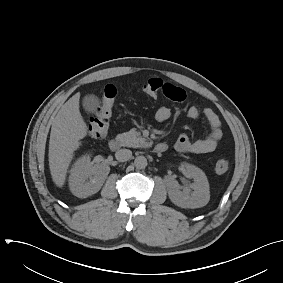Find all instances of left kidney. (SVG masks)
Instances as JSON below:
<instances>
[{
    "label": "left kidney",
    "instance_id": "1",
    "mask_svg": "<svg viewBox=\"0 0 283 283\" xmlns=\"http://www.w3.org/2000/svg\"><path fill=\"white\" fill-rule=\"evenodd\" d=\"M182 171L187 178H192L190 187L180 190L179 183L171 178H166L168 195L170 200L182 208H200L210 200L209 183L205 173L198 167L185 164Z\"/></svg>",
    "mask_w": 283,
    "mask_h": 283
}]
</instances>
